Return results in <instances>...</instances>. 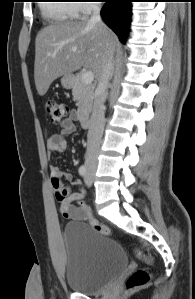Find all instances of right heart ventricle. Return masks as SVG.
<instances>
[{
	"label": "right heart ventricle",
	"mask_w": 195,
	"mask_h": 299,
	"mask_svg": "<svg viewBox=\"0 0 195 299\" xmlns=\"http://www.w3.org/2000/svg\"><path fill=\"white\" fill-rule=\"evenodd\" d=\"M42 6L43 16L51 23H65L75 17V4L69 1H50Z\"/></svg>",
	"instance_id": "obj_1"
}]
</instances>
